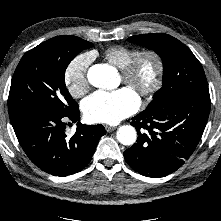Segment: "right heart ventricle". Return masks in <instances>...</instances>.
<instances>
[{
    "label": "right heart ventricle",
    "mask_w": 221,
    "mask_h": 221,
    "mask_svg": "<svg viewBox=\"0 0 221 221\" xmlns=\"http://www.w3.org/2000/svg\"><path fill=\"white\" fill-rule=\"evenodd\" d=\"M139 52L136 48L112 46L105 50L104 57L116 67L122 69Z\"/></svg>",
    "instance_id": "1"
}]
</instances>
